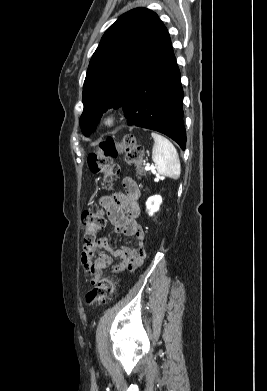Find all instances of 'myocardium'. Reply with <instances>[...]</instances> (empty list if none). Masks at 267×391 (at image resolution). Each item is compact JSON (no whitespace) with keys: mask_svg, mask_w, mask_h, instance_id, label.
<instances>
[{"mask_svg":"<svg viewBox=\"0 0 267 391\" xmlns=\"http://www.w3.org/2000/svg\"><path fill=\"white\" fill-rule=\"evenodd\" d=\"M118 120H119L118 112L108 111L103 115L101 119V125L105 129H111L116 126Z\"/></svg>","mask_w":267,"mask_h":391,"instance_id":"obj_1","label":"myocardium"}]
</instances>
